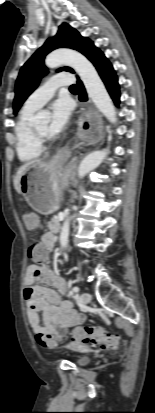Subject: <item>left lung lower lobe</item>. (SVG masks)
Masks as SVG:
<instances>
[{"instance_id": "left-lung-lower-lobe-1", "label": "left lung lower lobe", "mask_w": 155, "mask_h": 413, "mask_svg": "<svg viewBox=\"0 0 155 413\" xmlns=\"http://www.w3.org/2000/svg\"><path fill=\"white\" fill-rule=\"evenodd\" d=\"M93 65L96 67L101 79L103 80L111 98L118 106L120 102V92H119V85L118 79L115 74V71L108 61V59L104 56V54L100 51L91 61ZM78 87H79V99L80 101H87V95L84 89V86L80 80H78Z\"/></svg>"}]
</instances>
